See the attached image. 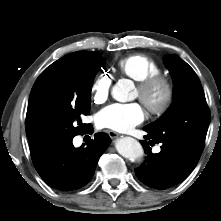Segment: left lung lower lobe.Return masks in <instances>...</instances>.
Wrapping results in <instances>:
<instances>
[{
    "instance_id": "obj_1",
    "label": "left lung lower lobe",
    "mask_w": 221,
    "mask_h": 221,
    "mask_svg": "<svg viewBox=\"0 0 221 221\" xmlns=\"http://www.w3.org/2000/svg\"><path fill=\"white\" fill-rule=\"evenodd\" d=\"M145 139L154 143L149 131ZM147 154L142 166L135 169L136 176L145 185L155 189L170 188L185 179L197 165L201 153L190 147L175 142L161 143V151L157 154L151 152L147 141H140Z\"/></svg>"
}]
</instances>
